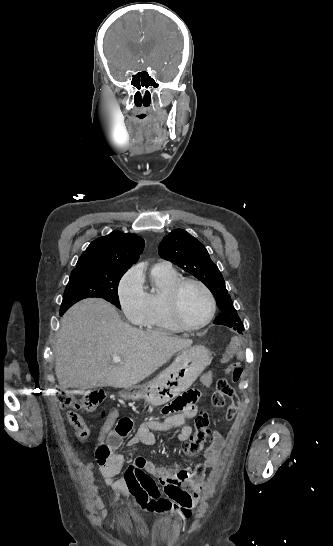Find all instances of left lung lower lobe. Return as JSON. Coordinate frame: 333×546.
I'll list each match as a JSON object with an SVG mask.
<instances>
[{
  "label": "left lung lower lobe",
  "mask_w": 333,
  "mask_h": 546,
  "mask_svg": "<svg viewBox=\"0 0 333 546\" xmlns=\"http://www.w3.org/2000/svg\"><path fill=\"white\" fill-rule=\"evenodd\" d=\"M213 323L214 324L225 325V326H228L230 328L233 327L238 332L244 330L243 324L240 321V319L236 318V317L235 318L231 317L228 314H221V315L217 316Z\"/></svg>",
  "instance_id": "left-lung-lower-lobe-1"
}]
</instances>
